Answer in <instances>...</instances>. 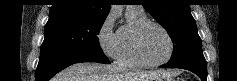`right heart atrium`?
<instances>
[{"mask_svg":"<svg viewBox=\"0 0 237 81\" xmlns=\"http://www.w3.org/2000/svg\"><path fill=\"white\" fill-rule=\"evenodd\" d=\"M98 45L105 56L116 59L118 54V34L114 30V20L108 14L102 21L97 32Z\"/></svg>","mask_w":237,"mask_h":81,"instance_id":"1","label":"right heart atrium"}]
</instances>
